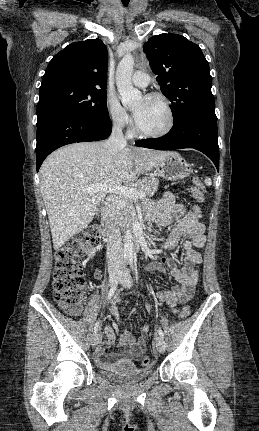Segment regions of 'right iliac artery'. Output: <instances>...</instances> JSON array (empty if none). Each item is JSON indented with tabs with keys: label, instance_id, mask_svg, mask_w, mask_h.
<instances>
[{
	"label": "right iliac artery",
	"instance_id": "obj_1",
	"mask_svg": "<svg viewBox=\"0 0 259 431\" xmlns=\"http://www.w3.org/2000/svg\"><path fill=\"white\" fill-rule=\"evenodd\" d=\"M127 260H128V255H124V261H123L124 267H125V266H126V264H127ZM116 289H117V284H115V285H113V286L111 287V289L109 290L108 295H107V300H110V299L113 297V295H114V293H115ZM99 326H100V322H99V321H97V322L95 323V326H94V331H97V330H98V328H99Z\"/></svg>",
	"mask_w": 259,
	"mask_h": 431
}]
</instances>
